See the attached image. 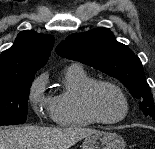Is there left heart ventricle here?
<instances>
[{"label":"left heart ventricle","mask_w":155,"mask_h":149,"mask_svg":"<svg viewBox=\"0 0 155 149\" xmlns=\"http://www.w3.org/2000/svg\"><path fill=\"white\" fill-rule=\"evenodd\" d=\"M94 105L101 117L110 120L122 115L123 101L119 93L110 86H100L94 94Z\"/></svg>","instance_id":"1"}]
</instances>
